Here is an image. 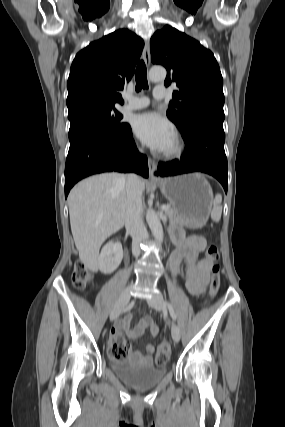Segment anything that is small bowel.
<instances>
[{
    "label": "small bowel",
    "instance_id": "small-bowel-1",
    "mask_svg": "<svg viewBox=\"0 0 285 427\" xmlns=\"http://www.w3.org/2000/svg\"><path fill=\"white\" fill-rule=\"evenodd\" d=\"M173 235L178 246L170 257L171 273L173 276H176L180 271L181 263L184 262L186 264V287L191 294L200 295L209 281V270L212 265V262L208 258H199V254L204 250L206 245L205 239L197 235L184 238L178 230H175ZM132 319L133 315L128 313L115 324L110 333V346L113 345V340L115 339L126 341L123 338V334L129 339H138L145 331H149L152 337L158 335L159 326L153 322L151 317H143L135 327L131 328ZM144 349V354L141 351L129 353L127 361L121 364L152 363L155 348L151 344H147Z\"/></svg>",
    "mask_w": 285,
    "mask_h": 427
}]
</instances>
